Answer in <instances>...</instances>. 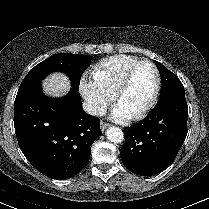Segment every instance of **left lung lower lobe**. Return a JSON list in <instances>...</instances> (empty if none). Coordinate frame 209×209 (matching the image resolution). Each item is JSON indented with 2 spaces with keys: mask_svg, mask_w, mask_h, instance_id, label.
Listing matches in <instances>:
<instances>
[{
  "mask_svg": "<svg viewBox=\"0 0 209 209\" xmlns=\"http://www.w3.org/2000/svg\"><path fill=\"white\" fill-rule=\"evenodd\" d=\"M188 106L184 92L159 98L155 108L138 124L126 127L120 150L124 166L141 176L166 169L187 136Z\"/></svg>",
  "mask_w": 209,
  "mask_h": 209,
  "instance_id": "left-lung-lower-lobe-1",
  "label": "left lung lower lobe"
}]
</instances>
